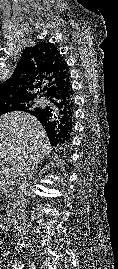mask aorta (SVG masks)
I'll use <instances>...</instances> for the list:
<instances>
[{
  "label": "aorta",
  "mask_w": 118,
  "mask_h": 269,
  "mask_svg": "<svg viewBox=\"0 0 118 269\" xmlns=\"http://www.w3.org/2000/svg\"><path fill=\"white\" fill-rule=\"evenodd\" d=\"M19 224H20V219L18 218V220H16V222H15V225H16L17 229H19Z\"/></svg>",
  "instance_id": "1"
}]
</instances>
